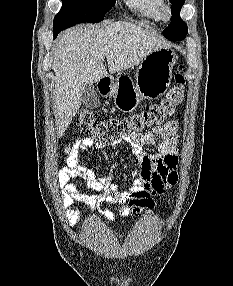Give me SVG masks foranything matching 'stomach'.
I'll use <instances>...</instances> for the list:
<instances>
[{"label":"stomach","instance_id":"1","mask_svg":"<svg viewBox=\"0 0 233 286\" xmlns=\"http://www.w3.org/2000/svg\"><path fill=\"white\" fill-rule=\"evenodd\" d=\"M177 56L170 47L152 51L139 64L135 84L122 87L117 83L110 86L108 94L116 106L123 111L133 110L143 99H157L169 88L172 69Z\"/></svg>","mask_w":233,"mask_h":286}]
</instances>
